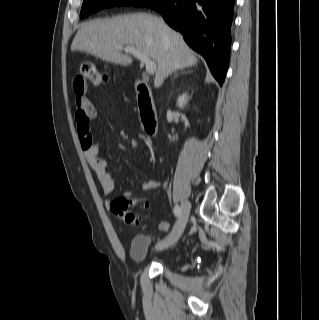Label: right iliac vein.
<instances>
[{"mask_svg": "<svg viewBox=\"0 0 319 320\" xmlns=\"http://www.w3.org/2000/svg\"><path fill=\"white\" fill-rule=\"evenodd\" d=\"M190 209H191V205H190L189 201H187V200L183 201L182 202V212H181V215H180L178 221L176 222L175 226L173 227L171 233L166 238H164L161 242H159L157 244L158 249L162 250V249L169 248L179 240V238L181 237V235L186 227L189 213H190Z\"/></svg>", "mask_w": 319, "mask_h": 320, "instance_id": "right-iliac-vein-1", "label": "right iliac vein"}]
</instances>
